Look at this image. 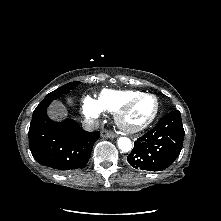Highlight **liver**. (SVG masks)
<instances>
[{"label": "liver", "instance_id": "6515ba94", "mask_svg": "<svg viewBox=\"0 0 221 221\" xmlns=\"http://www.w3.org/2000/svg\"><path fill=\"white\" fill-rule=\"evenodd\" d=\"M51 118L55 120L64 119L67 116V112L63 105L59 102H55L48 111Z\"/></svg>", "mask_w": 221, "mask_h": 221}]
</instances>
